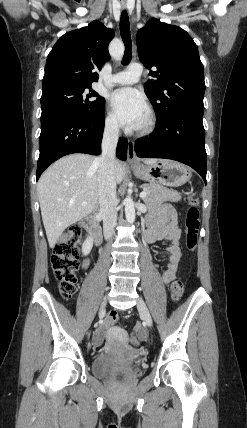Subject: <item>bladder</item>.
<instances>
[{
    "mask_svg": "<svg viewBox=\"0 0 247 428\" xmlns=\"http://www.w3.org/2000/svg\"><path fill=\"white\" fill-rule=\"evenodd\" d=\"M115 362L116 359L113 355L109 353H101L94 358L92 364L93 373L96 376L104 377L108 375ZM134 368H137L136 364L134 365Z\"/></svg>",
    "mask_w": 247,
    "mask_h": 428,
    "instance_id": "1",
    "label": "bladder"
}]
</instances>
